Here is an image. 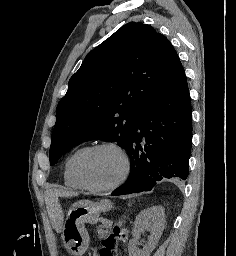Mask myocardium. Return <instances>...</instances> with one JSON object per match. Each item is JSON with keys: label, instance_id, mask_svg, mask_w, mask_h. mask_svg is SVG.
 Segmentation results:
<instances>
[{"label": "myocardium", "instance_id": "myocardium-1", "mask_svg": "<svg viewBox=\"0 0 236 256\" xmlns=\"http://www.w3.org/2000/svg\"><path fill=\"white\" fill-rule=\"evenodd\" d=\"M106 148H111L116 150L122 157L123 160V171L120 176V178L113 183L112 185L106 186V187H93L90 184H88L85 175H84V166L85 163L90 155L93 153L101 150V149H106ZM131 173V158L128 153V151L118 142L115 141H106L102 142L99 144H96L92 147H90L79 159L78 164H77V177L84 189H86L89 192L92 193H108L111 191L116 190L120 186H122L128 179L129 175Z\"/></svg>", "mask_w": 236, "mask_h": 256}]
</instances>
